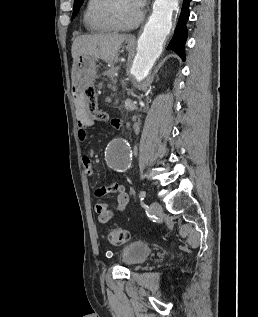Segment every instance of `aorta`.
Segmentation results:
<instances>
[{"instance_id":"1","label":"aorta","mask_w":258,"mask_h":317,"mask_svg":"<svg viewBox=\"0 0 258 317\" xmlns=\"http://www.w3.org/2000/svg\"><path fill=\"white\" fill-rule=\"evenodd\" d=\"M177 6L178 0H155L152 14L138 39L137 53L130 70L137 82L148 76L160 56L163 43L172 28V15ZM105 157L113 170L126 171L131 163L128 142L123 138L113 139L107 146Z\"/></svg>"}]
</instances>
